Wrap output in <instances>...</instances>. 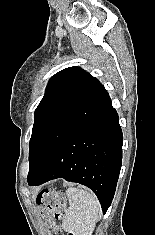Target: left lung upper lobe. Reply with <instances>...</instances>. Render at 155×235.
I'll return each mask as SVG.
<instances>
[{
	"label": "left lung upper lobe",
	"mask_w": 155,
	"mask_h": 235,
	"mask_svg": "<svg viewBox=\"0 0 155 235\" xmlns=\"http://www.w3.org/2000/svg\"><path fill=\"white\" fill-rule=\"evenodd\" d=\"M104 86L80 67L56 73L35 110L29 143V174H36L61 140L106 93Z\"/></svg>",
	"instance_id": "obj_1"
}]
</instances>
